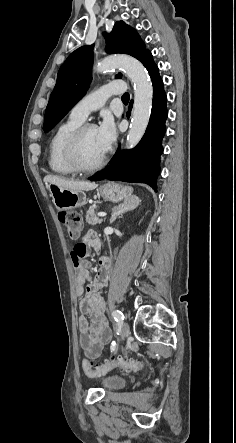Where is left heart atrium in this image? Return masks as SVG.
<instances>
[{
    "mask_svg": "<svg viewBox=\"0 0 236 443\" xmlns=\"http://www.w3.org/2000/svg\"><path fill=\"white\" fill-rule=\"evenodd\" d=\"M104 151H108L116 138V127L113 118L106 114L96 127Z\"/></svg>",
    "mask_w": 236,
    "mask_h": 443,
    "instance_id": "left-heart-atrium-1",
    "label": "left heart atrium"
}]
</instances>
